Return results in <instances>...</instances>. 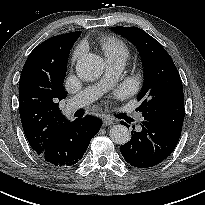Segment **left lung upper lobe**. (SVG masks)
<instances>
[{"label": "left lung upper lobe", "mask_w": 205, "mask_h": 205, "mask_svg": "<svg viewBox=\"0 0 205 205\" xmlns=\"http://www.w3.org/2000/svg\"><path fill=\"white\" fill-rule=\"evenodd\" d=\"M137 46L144 65V84L137 108L143 117L156 115L161 109L184 108L183 86L178 70L163 46L137 27H114Z\"/></svg>", "instance_id": "1"}]
</instances>
